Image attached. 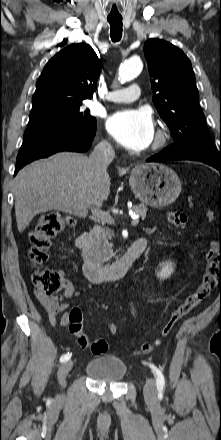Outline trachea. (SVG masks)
<instances>
[{
	"label": "trachea",
	"mask_w": 221,
	"mask_h": 440,
	"mask_svg": "<svg viewBox=\"0 0 221 440\" xmlns=\"http://www.w3.org/2000/svg\"><path fill=\"white\" fill-rule=\"evenodd\" d=\"M110 24V37L113 42H118L122 37V18H107Z\"/></svg>",
	"instance_id": "trachea-1"
}]
</instances>
